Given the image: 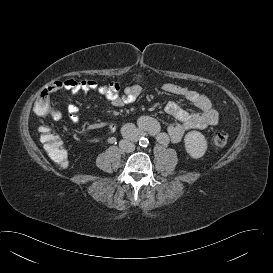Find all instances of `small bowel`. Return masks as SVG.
<instances>
[{
  "label": "small bowel",
  "mask_w": 273,
  "mask_h": 273,
  "mask_svg": "<svg viewBox=\"0 0 273 273\" xmlns=\"http://www.w3.org/2000/svg\"><path fill=\"white\" fill-rule=\"evenodd\" d=\"M61 87L67 89H83L87 91H98L104 93L98 83L94 80H82L76 82L74 80H66ZM164 90L169 93L183 95L189 102L195 105L201 112L187 113L181 107L173 102H168L164 105L163 110L166 114L175 117L178 121L168 126L165 131H161L160 123L149 116H142L138 119V124H145L146 129L152 135L157 136V139L162 144H168L169 142H178L184 133L193 128H204L209 125H215L218 122V112L212 108L210 102L194 91L184 89L175 84H166ZM108 93H118L120 86L118 83L111 82L108 85ZM139 86L127 87L120 96L114 98V105L121 107L135 100L140 94ZM70 121L73 124L78 123V117L76 113L78 108L74 105H70L68 108Z\"/></svg>",
  "instance_id": "c3829d8e"
}]
</instances>
